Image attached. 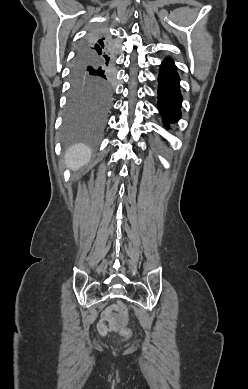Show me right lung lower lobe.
I'll return each mask as SVG.
<instances>
[{
    "mask_svg": "<svg viewBox=\"0 0 248 389\" xmlns=\"http://www.w3.org/2000/svg\"><path fill=\"white\" fill-rule=\"evenodd\" d=\"M104 40H106V41H105V43L102 44L103 45L102 48L101 47L100 48L101 49L104 48V52H105V50H107V48H108L107 47L108 40L104 37V35L99 34V33L95 34L92 37L91 41L84 43L80 49H82V51L85 55L92 56V52L90 51V46L95 47V45H100L101 42H103Z\"/></svg>",
    "mask_w": 248,
    "mask_h": 389,
    "instance_id": "98d812e1",
    "label": "right lung lower lobe"
}]
</instances>
